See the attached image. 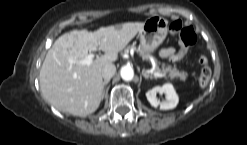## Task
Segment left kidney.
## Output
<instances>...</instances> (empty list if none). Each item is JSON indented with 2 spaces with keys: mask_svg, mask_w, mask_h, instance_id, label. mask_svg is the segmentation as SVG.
Segmentation results:
<instances>
[{
  "mask_svg": "<svg viewBox=\"0 0 247 145\" xmlns=\"http://www.w3.org/2000/svg\"><path fill=\"white\" fill-rule=\"evenodd\" d=\"M157 93H160V94L164 93L166 96V100L160 102L156 97ZM146 97L149 103L153 107H159L162 110L173 109L177 106L179 102L178 95L173 85L170 83L164 84L161 87L160 86L154 87L153 89L147 91Z\"/></svg>",
  "mask_w": 247,
  "mask_h": 145,
  "instance_id": "left-kidney-1",
  "label": "left kidney"
}]
</instances>
